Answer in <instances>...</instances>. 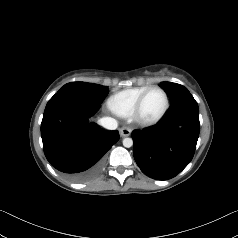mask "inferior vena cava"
I'll use <instances>...</instances> for the list:
<instances>
[{"instance_id":"1","label":"inferior vena cava","mask_w":238,"mask_h":238,"mask_svg":"<svg viewBox=\"0 0 238 238\" xmlns=\"http://www.w3.org/2000/svg\"><path fill=\"white\" fill-rule=\"evenodd\" d=\"M98 123L108 130H115L118 126L117 121L111 117H103L98 121Z\"/></svg>"}]
</instances>
